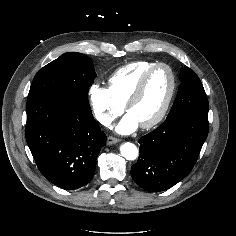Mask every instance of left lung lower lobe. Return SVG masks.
I'll return each instance as SVG.
<instances>
[{"label": "left lung lower lobe", "mask_w": 236, "mask_h": 236, "mask_svg": "<svg viewBox=\"0 0 236 236\" xmlns=\"http://www.w3.org/2000/svg\"><path fill=\"white\" fill-rule=\"evenodd\" d=\"M209 129L208 115L183 113L167 118L140 140L131 167L133 180L150 192L171 188L194 167Z\"/></svg>", "instance_id": "left-lung-lower-lobe-1"}]
</instances>
